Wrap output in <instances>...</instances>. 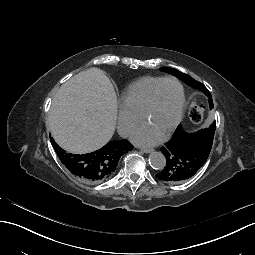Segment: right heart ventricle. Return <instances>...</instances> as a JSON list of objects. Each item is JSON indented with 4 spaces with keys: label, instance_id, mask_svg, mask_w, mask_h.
<instances>
[{
    "label": "right heart ventricle",
    "instance_id": "right-heart-ventricle-1",
    "mask_svg": "<svg viewBox=\"0 0 255 255\" xmlns=\"http://www.w3.org/2000/svg\"><path fill=\"white\" fill-rule=\"evenodd\" d=\"M162 77H143L130 84L119 96L120 106L140 117L153 87Z\"/></svg>",
    "mask_w": 255,
    "mask_h": 255
}]
</instances>
